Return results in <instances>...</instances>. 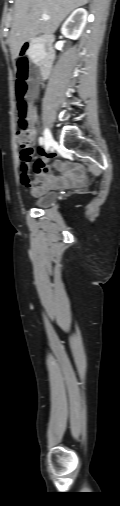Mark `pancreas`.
I'll return each mask as SVG.
<instances>
[{"instance_id": "1", "label": "pancreas", "mask_w": 120, "mask_h": 506, "mask_svg": "<svg viewBox=\"0 0 120 506\" xmlns=\"http://www.w3.org/2000/svg\"><path fill=\"white\" fill-rule=\"evenodd\" d=\"M30 56H31V58H32L33 61H36V60L39 59V54H38V51L36 49H32L31 50Z\"/></svg>"}]
</instances>
